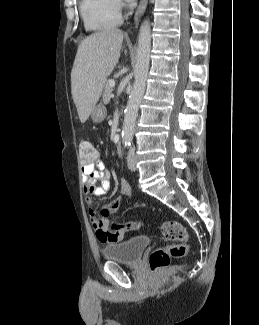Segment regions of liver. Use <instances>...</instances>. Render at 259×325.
Returning <instances> with one entry per match:
<instances>
[{"instance_id": "obj_1", "label": "liver", "mask_w": 259, "mask_h": 325, "mask_svg": "<svg viewBox=\"0 0 259 325\" xmlns=\"http://www.w3.org/2000/svg\"><path fill=\"white\" fill-rule=\"evenodd\" d=\"M123 38L121 30L105 29L86 37L78 47L71 71V93L81 123L89 118L118 63Z\"/></svg>"}]
</instances>
